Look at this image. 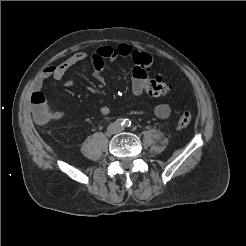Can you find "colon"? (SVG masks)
Returning <instances> with one entry per match:
<instances>
[{"label":"colon","mask_w":246,"mask_h":246,"mask_svg":"<svg viewBox=\"0 0 246 246\" xmlns=\"http://www.w3.org/2000/svg\"><path fill=\"white\" fill-rule=\"evenodd\" d=\"M131 58L134 66L144 73L152 64V57L143 51L134 50ZM171 92V86L167 85L161 77L150 78L145 85V93L153 97L165 96ZM32 112L37 122L44 123L48 116L46 100L39 92H34L31 96ZM191 113L184 111L177 118V126L180 128L187 127L191 122Z\"/></svg>","instance_id":"5ec220e1"}]
</instances>
